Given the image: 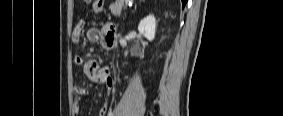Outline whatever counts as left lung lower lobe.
<instances>
[{
	"label": "left lung lower lobe",
	"mask_w": 283,
	"mask_h": 116,
	"mask_svg": "<svg viewBox=\"0 0 283 116\" xmlns=\"http://www.w3.org/2000/svg\"><path fill=\"white\" fill-rule=\"evenodd\" d=\"M181 1H182V4H183V7H184L187 3V0H181Z\"/></svg>",
	"instance_id": "left-lung-lower-lobe-1"
}]
</instances>
